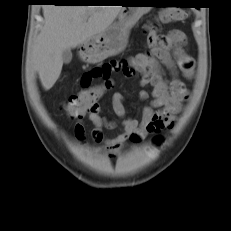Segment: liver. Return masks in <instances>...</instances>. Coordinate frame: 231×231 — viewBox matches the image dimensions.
Listing matches in <instances>:
<instances>
[{"instance_id": "liver-1", "label": "liver", "mask_w": 231, "mask_h": 231, "mask_svg": "<svg viewBox=\"0 0 231 231\" xmlns=\"http://www.w3.org/2000/svg\"><path fill=\"white\" fill-rule=\"evenodd\" d=\"M122 8L85 5L43 7L44 26L33 49V62L45 90L51 89L61 74L63 51L105 31Z\"/></svg>"}]
</instances>
